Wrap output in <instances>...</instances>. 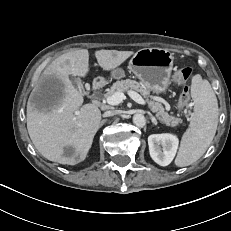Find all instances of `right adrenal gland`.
Returning a JSON list of instances; mask_svg holds the SVG:
<instances>
[{
	"label": "right adrenal gland",
	"mask_w": 231,
	"mask_h": 231,
	"mask_svg": "<svg viewBox=\"0 0 231 231\" xmlns=\"http://www.w3.org/2000/svg\"><path fill=\"white\" fill-rule=\"evenodd\" d=\"M106 122V119H103L101 122H100V126L99 127H102L103 124Z\"/></svg>",
	"instance_id": "right-adrenal-gland-1"
}]
</instances>
